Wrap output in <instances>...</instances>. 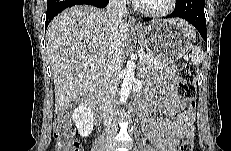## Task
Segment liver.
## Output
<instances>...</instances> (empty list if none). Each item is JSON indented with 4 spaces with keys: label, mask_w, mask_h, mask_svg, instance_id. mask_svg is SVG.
Masks as SVG:
<instances>
[{
    "label": "liver",
    "mask_w": 231,
    "mask_h": 151,
    "mask_svg": "<svg viewBox=\"0 0 231 151\" xmlns=\"http://www.w3.org/2000/svg\"><path fill=\"white\" fill-rule=\"evenodd\" d=\"M173 21L186 32L192 31L186 21ZM128 37L125 22L113 29L106 11L90 5L67 8L50 22L46 53L54 80L56 113L98 88L109 58L117 53L121 60Z\"/></svg>",
    "instance_id": "6515ba94"
}]
</instances>
